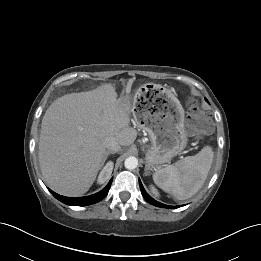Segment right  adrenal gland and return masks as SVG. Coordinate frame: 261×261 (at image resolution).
<instances>
[{"label":"right adrenal gland","instance_id":"obj_1","mask_svg":"<svg viewBox=\"0 0 261 261\" xmlns=\"http://www.w3.org/2000/svg\"><path fill=\"white\" fill-rule=\"evenodd\" d=\"M110 154H115V152H113V151H106V152H105V155H104V162L106 161V159L108 158V156H109Z\"/></svg>","mask_w":261,"mask_h":261}]
</instances>
